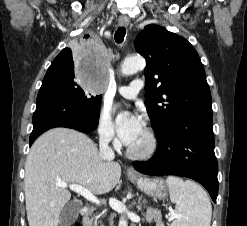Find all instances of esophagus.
Returning <instances> with one entry per match:
<instances>
[{"mask_svg": "<svg viewBox=\"0 0 247 226\" xmlns=\"http://www.w3.org/2000/svg\"><path fill=\"white\" fill-rule=\"evenodd\" d=\"M129 24L128 19H120L119 20V25L121 26H127ZM127 173L130 175H136V172L132 168H127Z\"/></svg>", "mask_w": 247, "mask_h": 226, "instance_id": "esophagus-1", "label": "esophagus"}]
</instances>
